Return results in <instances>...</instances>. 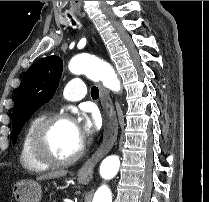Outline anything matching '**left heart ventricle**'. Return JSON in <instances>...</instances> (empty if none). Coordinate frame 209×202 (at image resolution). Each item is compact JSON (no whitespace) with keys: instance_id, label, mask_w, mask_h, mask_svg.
<instances>
[{"instance_id":"1","label":"left heart ventricle","mask_w":209,"mask_h":202,"mask_svg":"<svg viewBox=\"0 0 209 202\" xmlns=\"http://www.w3.org/2000/svg\"><path fill=\"white\" fill-rule=\"evenodd\" d=\"M45 142L48 152L57 159L72 156L81 145L73 121H63L54 125L48 132Z\"/></svg>"}]
</instances>
